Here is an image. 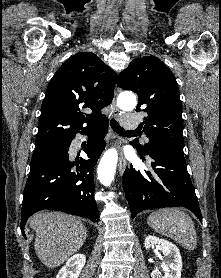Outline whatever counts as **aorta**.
Masks as SVG:
<instances>
[{
    "mask_svg": "<svg viewBox=\"0 0 221 278\" xmlns=\"http://www.w3.org/2000/svg\"><path fill=\"white\" fill-rule=\"evenodd\" d=\"M136 105V97H121L118 99V106L121 109H133ZM118 161V153L115 149L106 151L98 166V179L104 186H110L115 174Z\"/></svg>",
    "mask_w": 221,
    "mask_h": 278,
    "instance_id": "obj_1",
    "label": "aorta"
}]
</instances>
